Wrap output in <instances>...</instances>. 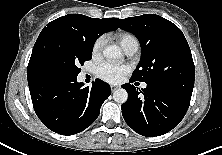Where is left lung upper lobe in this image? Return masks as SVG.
I'll return each instance as SVG.
<instances>
[{"instance_id": "5c2ea615", "label": "left lung upper lobe", "mask_w": 222, "mask_h": 155, "mask_svg": "<svg viewBox=\"0 0 222 155\" xmlns=\"http://www.w3.org/2000/svg\"><path fill=\"white\" fill-rule=\"evenodd\" d=\"M117 25L134 34L141 45V60L131 79L162 83L193 91L195 67L182 31L155 14L117 19Z\"/></svg>"}]
</instances>
